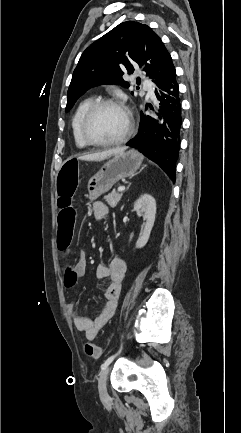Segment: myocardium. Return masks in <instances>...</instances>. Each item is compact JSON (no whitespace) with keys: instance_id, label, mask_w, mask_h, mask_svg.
Listing matches in <instances>:
<instances>
[{"instance_id":"f54148a6","label":"myocardium","mask_w":241,"mask_h":433,"mask_svg":"<svg viewBox=\"0 0 241 433\" xmlns=\"http://www.w3.org/2000/svg\"><path fill=\"white\" fill-rule=\"evenodd\" d=\"M105 106H116V107L121 108L124 111V113L126 115V119H127V126H126L124 133L120 137H118L114 140H111V141L96 140L89 133V124H90L92 117L100 108L105 107ZM132 131H133V118H132L131 112L129 111L128 107L122 101H120L118 99H114V98H104V99H99V100L94 101L89 106V108L86 110V112L82 118V121H81V133H82L84 140L89 145L97 146V147H110V146H116V145L122 144L125 141H127V139L132 134Z\"/></svg>"}]
</instances>
